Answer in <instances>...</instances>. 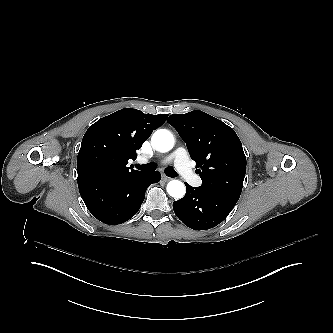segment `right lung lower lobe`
Segmentation results:
<instances>
[{
  "label": "right lung lower lobe",
  "instance_id": "right-lung-lower-lobe-1",
  "mask_svg": "<svg viewBox=\"0 0 333 333\" xmlns=\"http://www.w3.org/2000/svg\"><path fill=\"white\" fill-rule=\"evenodd\" d=\"M161 179L159 172L135 171L119 177L78 179L80 195L91 214L105 224H121L140 209L146 189Z\"/></svg>",
  "mask_w": 333,
  "mask_h": 333
}]
</instances>
